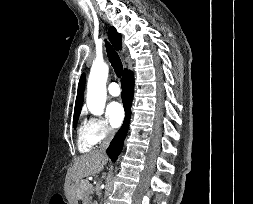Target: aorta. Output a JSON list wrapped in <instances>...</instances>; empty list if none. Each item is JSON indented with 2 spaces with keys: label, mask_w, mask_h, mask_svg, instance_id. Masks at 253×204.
I'll return each mask as SVG.
<instances>
[{
  "label": "aorta",
  "mask_w": 253,
  "mask_h": 204,
  "mask_svg": "<svg viewBox=\"0 0 253 204\" xmlns=\"http://www.w3.org/2000/svg\"><path fill=\"white\" fill-rule=\"evenodd\" d=\"M109 68L105 63L95 62L92 65L88 84L86 103L94 115H102L106 102V81Z\"/></svg>",
  "instance_id": "1"
}]
</instances>
